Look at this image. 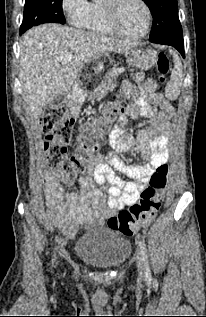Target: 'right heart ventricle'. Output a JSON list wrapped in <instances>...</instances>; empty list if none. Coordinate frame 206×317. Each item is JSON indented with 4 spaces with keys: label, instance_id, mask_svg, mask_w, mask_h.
<instances>
[{
    "label": "right heart ventricle",
    "instance_id": "1",
    "mask_svg": "<svg viewBox=\"0 0 206 317\" xmlns=\"http://www.w3.org/2000/svg\"><path fill=\"white\" fill-rule=\"evenodd\" d=\"M104 1L94 0L90 3L89 14L84 28L91 32L110 35L113 34L109 28L105 16Z\"/></svg>",
    "mask_w": 206,
    "mask_h": 317
}]
</instances>
